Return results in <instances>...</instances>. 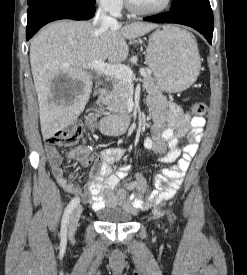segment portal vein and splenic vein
Returning <instances> with one entry per match:
<instances>
[{"instance_id": "18ae733b", "label": "portal vein and splenic vein", "mask_w": 247, "mask_h": 275, "mask_svg": "<svg viewBox=\"0 0 247 275\" xmlns=\"http://www.w3.org/2000/svg\"><path fill=\"white\" fill-rule=\"evenodd\" d=\"M86 69L96 71L97 73L103 74L105 76L115 77L117 79H123L132 83L133 72L132 70L120 64H107L103 61H94L85 66ZM140 74L146 76L147 72L145 69H140Z\"/></svg>"}]
</instances>
